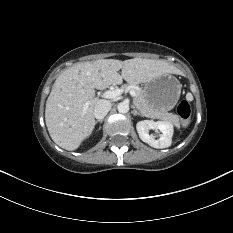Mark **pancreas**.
Masks as SVG:
<instances>
[{
    "mask_svg": "<svg viewBox=\"0 0 233 233\" xmlns=\"http://www.w3.org/2000/svg\"><path fill=\"white\" fill-rule=\"evenodd\" d=\"M125 88L126 87H123V89ZM133 102L143 116L162 119L175 125L177 128H180L179 117L176 114L152 108L141 90H136V96L134 97Z\"/></svg>",
    "mask_w": 233,
    "mask_h": 233,
    "instance_id": "pancreas-1",
    "label": "pancreas"
}]
</instances>
